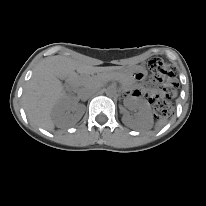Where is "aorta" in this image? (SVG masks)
I'll use <instances>...</instances> for the list:
<instances>
[{"mask_svg": "<svg viewBox=\"0 0 206 206\" xmlns=\"http://www.w3.org/2000/svg\"><path fill=\"white\" fill-rule=\"evenodd\" d=\"M106 94L109 95V96L115 95L116 94V88L114 86H109L106 89Z\"/></svg>", "mask_w": 206, "mask_h": 206, "instance_id": "1", "label": "aorta"}]
</instances>
